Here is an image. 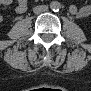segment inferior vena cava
Returning a JSON list of instances; mask_svg holds the SVG:
<instances>
[{
  "instance_id": "obj_1",
  "label": "inferior vena cava",
  "mask_w": 91,
  "mask_h": 91,
  "mask_svg": "<svg viewBox=\"0 0 91 91\" xmlns=\"http://www.w3.org/2000/svg\"><path fill=\"white\" fill-rule=\"evenodd\" d=\"M47 10H48L47 5H39V6L34 7L33 12L35 14H39V13L45 12Z\"/></svg>"
}]
</instances>
